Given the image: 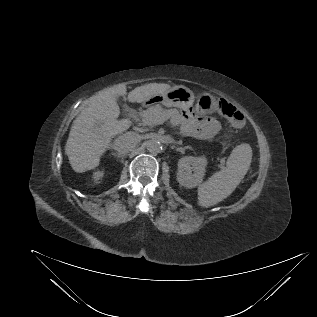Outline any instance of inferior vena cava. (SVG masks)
<instances>
[{
	"label": "inferior vena cava",
	"instance_id": "602c4592",
	"mask_svg": "<svg viewBox=\"0 0 317 317\" xmlns=\"http://www.w3.org/2000/svg\"><path fill=\"white\" fill-rule=\"evenodd\" d=\"M138 142L139 137L136 133L127 132L115 139L112 148L117 151L119 155H126Z\"/></svg>",
	"mask_w": 317,
	"mask_h": 317
}]
</instances>
